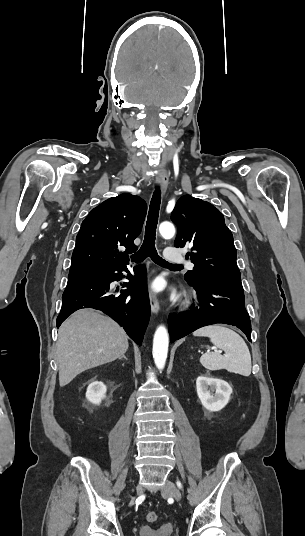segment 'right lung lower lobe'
Instances as JSON below:
<instances>
[{"label":"right lung lower lobe","mask_w":305,"mask_h":536,"mask_svg":"<svg viewBox=\"0 0 305 536\" xmlns=\"http://www.w3.org/2000/svg\"><path fill=\"white\" fill-rule=\"evenodd\" d=\"M118 273H115V272ZM126 265L108 268L100 273L69 277L62 296V308L57 317V327L74 311L94 308L103 311L123 326L130 338L141 345L150 318L146 268H134L135 275L123 287L120 295L111 294L110 283L121 279Z\"/></svg>","instance_id":"1"}]
</instances>
